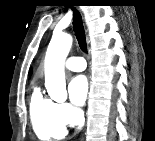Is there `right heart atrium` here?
<instances>
[{"mask_svg":"<svg viewBox=\"0 0 155 141\" xmlns=\"http://www.w3.org/2000/svg\"><path fill=\"white\" fill-rule=\"evenodd\" d=\"M57 115L64 125H75L82 117L81 112L68 103L57 104Z\"/></svg>","mask_w":155,"mask_h":141,"instance_id":"1","label":"right heart atrium"}]
</instances>
